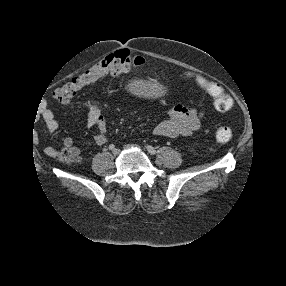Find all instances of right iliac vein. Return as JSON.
I'll use <instances>...</instances> for the list:
<instances>
[{
    "label": "right iliac vein",
    "instance_id": "right-iliac-vein-1",
    "mask_svg": "<svg viewBox=\"0 0 286 286\" xmlns=\"http://www.w3.org/2000/svg\"><path fill=\"white\" fill-rule=\"evenodd\" d=\"M112 152H113V154H114L115 156H117V155L120 154V150H119V149H114Z\"/></svg>",
    "mask_w": 286,
    "mask_h": 286
}]
</instances>
